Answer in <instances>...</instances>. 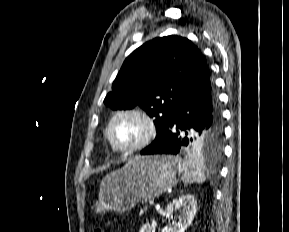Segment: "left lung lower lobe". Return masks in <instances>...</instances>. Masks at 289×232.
I'll use <instances>...</instances> for the list:
<instances>
[{
  "mask_svg": "<svg viewBox=\"0 0 289 232\" xmlns=\"http://www.w3.org/2000/svg\"><path fill=\"white\" fill-rule=\"evenodd\" d=\"M222 124L214 83L207 64L181 95L164 134L141 155L188 153L195 138L215 135ZM223 133V132H222Z\"/></svg>",
  "mask_w": 289,
  "mask_h": 232,
  "instance_id": "0a47b994",
  "label": "left lung lower lobe"
}]
</instances>
